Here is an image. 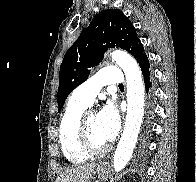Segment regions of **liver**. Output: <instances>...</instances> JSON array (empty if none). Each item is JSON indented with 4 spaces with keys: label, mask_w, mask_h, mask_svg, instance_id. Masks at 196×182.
<instances>
[{
    "label": "liver",
    "mask_w": 196,
    "mask_h": 182,
    "mask_svg": "<svg viewBox=\"0 0 196 182\" xmlns=\"http://www.w3.org/2000/svg\"><path fill=\"white\" fill-rule=\"evenodd\" d=\"M96 164H86L65 169L57 177L56 182H88Z\"/></svg>",
    "instance_id": "liver-1"
}]
</instances>
